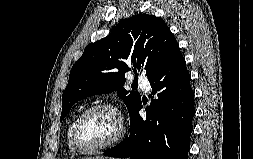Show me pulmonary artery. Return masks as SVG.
Segmentation results:
<instances>
[{
	"label": "pulmonary artery",
	"mask_w": 253,
	"mask_h": 159,
	"mask_svg": "<svg viewBox=\"0 0 253 159\" xmlns=\"http://www.w3.org/2000/svg\"><path fill=\"white\" fill-rule=\"evenodd\" d=\"M137 81L141 89L145 92H148L150 89V83L143 73H138L136 75Z\"/></svg>",
	"instance_id": "pulmonary-artery-1"
}]
</instances>
